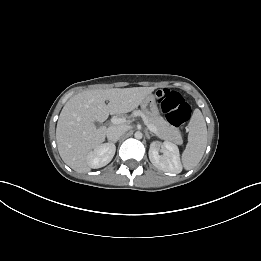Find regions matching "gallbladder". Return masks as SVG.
<instances>
[{
	"label": "gallbladder",
	"mask_w": 261,
	"mask_h": 261,
	"mask_svg": "<svg viewBox=\"0 0 261 261\" xmlns=\"http://www.w3.org/2000/svg\"><path fill=\"white\" fill-rule=\"evenodd\" d=\"M95 124H96V126H100V123H98V122H95Z\"/></svg>",
	"instance_id": "obj_1"
}]
</instances>
